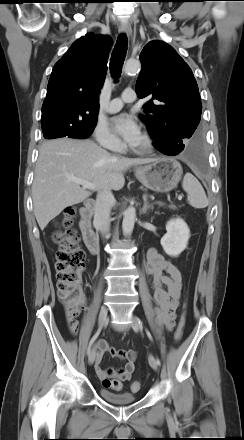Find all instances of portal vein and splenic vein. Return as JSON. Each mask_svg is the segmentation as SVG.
Returning a JSON list of instances; mask_svg holds the SVG:
<instances>
[{"label":"portal vein and splenic vein","instance_id":"18ae733b","mask_svg":"<svg viewBox=\"0 0 244 440\" xmlns=\"http://www.w3.org/2000/svg\"><path fill=\"white\" fill-rule=\"evenodd\" d=\"M71 180H72L73 182H75V183H78V184L82 185L83 188H85V189H90V190H95V189H96V186H95L94 183H91V182H88V181H85V180H81V179H76V178H73V179H71ZM182 197H183V196L180 195V196L178 197V199L181 200ZM159 204H161V203L159 202Z\"/></svg>","mask_w":244,"mask_h":440}]
</instances>
